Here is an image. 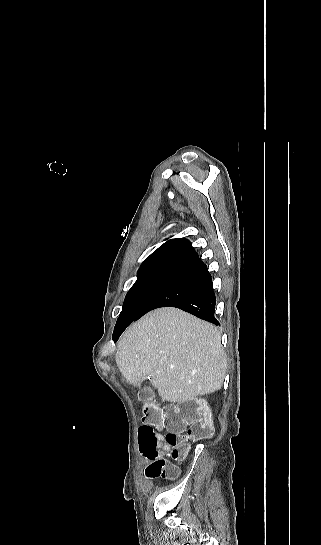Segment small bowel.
<instances>
[{
	"mask_svg": "<svg viewBox=\"0 0 321 545\" xmlns=\"http://www.w3.org/2000/svg\"><path fill=\"white\" fill-rule=\"evenodd\" d=\"M162 460H163L162 458H158L157 460L152 461V462L147 466L145 473H146V475H147L148 477H154V475H155V473H156L157 462H158V461H162ZM163 461H165V460H163ZM173 466H174V465H173ZM174 468L177 470V475H178V473H179L178 468H177L176 466H174Z\"/></svg>",
	"mask_w": 321,
	"mask_h": 545,
	"instance_id": "obj_1",
	"label": "small bowel"
}]
</instances>
